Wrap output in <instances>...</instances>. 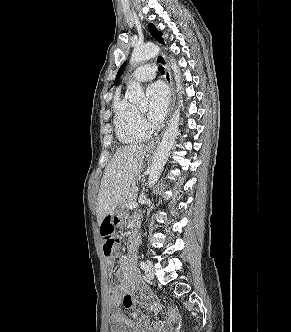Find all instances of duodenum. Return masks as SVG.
<instances>
[{"label":"duodenum","instance_id":"410a0bca","mask_svg":"<svg viewBox=\"0 0 291 332\" xmlns=\"http://www.w3.org/2000/svg\"><path fill=\"white\" fill-rule=\"evenodd\" d=\"M135 226H136V224H135V222H133L132 227H135ZM133 246H134V241L131 242V247H133Z\"/></svg>","mask_w":291,"mask_h":332}]
</instances>
